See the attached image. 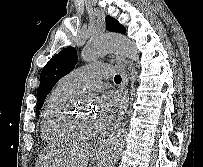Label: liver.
Wrapping results in <instances>:
<instances>
[{"label": "liver", "instance_id": "1", "mask_svg": "<svg viewBox=\"0 0 203 167\" xmlns=\"http://www.w3.org/2000/svg\"><path fill=\"white\" fill-rule=\"evenodd\" d=\"M98 160V153L90 146L68 145L57 150L45 149L36 167H87L89 159Z\"/></svg>", "mask_w": 203, "mask_h": 167}]
</instances>
